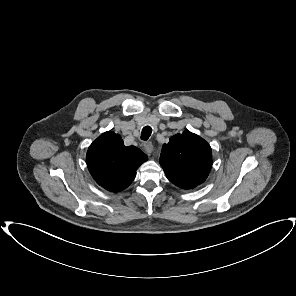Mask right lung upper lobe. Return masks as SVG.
<instances>
[{
  "label": "right lung upper lobe",
  "instance_id": "obj_1",
  "mask_svg": "<svg viewBox=\"0 0 296 296\" xmlns=\"http://www.w3.org/2000/svg\"><path fill=\"white\" fill-rule=\"evenodd\" d=\"M148 157L135 146L126 147L120 135L108 131L89 147L86 155L88 169L94 180L111 192L127 188L136 170Z\"/></svg>",
  "mask_w": 296,
  "mask_h": 296
}]
</instances>
